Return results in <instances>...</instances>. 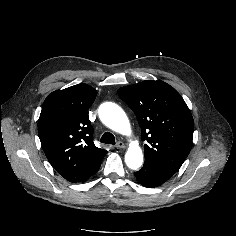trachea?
Instances as JSON below:
<instances>
[{
    "mask_svg": "<svg viewBox=\"0 0 236 236\" xmlns=\"http://www.w3.org/2000/svg\"><path fill=\"white\" fill-rule=\"evenodd\" d=\"M101 143H105V144H115V137L112 133L110 132H105L101 139H100Z\"/></svg>",
    "mask_w": 236,
    "mask_h": 236,
    "instance_id": "3493384b",
    "label": "trachea"
}]
</instances>
